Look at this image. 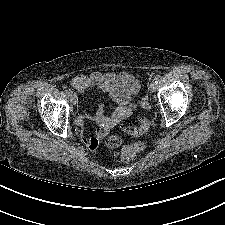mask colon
<instances>
[{
    "label": "colon",
    "instance_id": "5ec220e1",
    "mask_svg": "<svg viewBox=\"0 0 225 225\" xmlns=\"http://www.w3.org/2000/svg\"><path fill=\"white\" fill-rule=\"evenodd\" d=\"M141 105L144 107L148 106L147 100H143ZM150 128V121L147 117H142L138 124L131 126L129 128H122V131L133 137H140L146 134ZM98 142V139H97ZM105 146L108 149H117L120 148L119 158L128 162L133 160L141 151L145 149V143L142 141H137L131 144H123V140L120 136L117 135H107L104 138Z\"/></svg>",
    "mask_w": 225,
    "mask_h": 225
}]
</instances>
